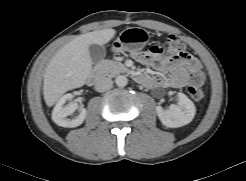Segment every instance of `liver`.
<instances>
[{
  "label": "liver",
  "instance_id": "liver-1",
  "mask_svg": "<svg viewBox=\"0 0 246 181\" xmlns=\"http://www.w3.org/2000/svg\"><path fill=\"white\" fill-rule=\"evenodd\" d=\"M115 34L111 28L82 34L56 53L44 75L43 95L47 106H53L65 92L85 84L92 70L89 46L104 45Z\"/></svg>",
  "mask_w": 246,
  "mask_h": 181
}]
</instances>
